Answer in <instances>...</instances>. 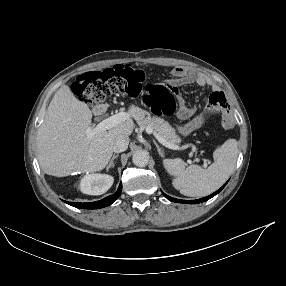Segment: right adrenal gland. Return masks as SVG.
<instances>
[{
  "mask_svg": "<svg viewBox=\"0 0 286 286\" xmlns=\"http://www.w3.org/2000/svg\"><path fill=\"white\" fill-rule=\"evenodd\" d=\"M118 157V154H114L108 164V166L106 167V170L108 171L110 168L114 167V159H116Z\"/></svg>",
  "mask_w": 286,
  "mask_h": 286,
  "instance_id": "1",
  "label": "right adrenal gland"
}]
</instances>
